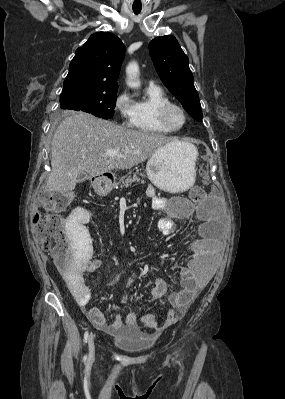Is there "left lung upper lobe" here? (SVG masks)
Segmentation results:
<instances>
[{"mask_svg":"<svg viewBox=\"0 0 285 399\" xmlns=\"http://www.w3.org/2000/svg\"><path fill=\"white\" fill-rule=\"evenodd\" d=\"M149 52L164 85L180 101L184 109L197 121H202L199 95L193 84V74L174 36H162L149 43Z\"/></svg>","mask_w":285,"mask_h":399,"instance_id":"5c2ea615","label":"left lung upper lobe"}]
</instances>
